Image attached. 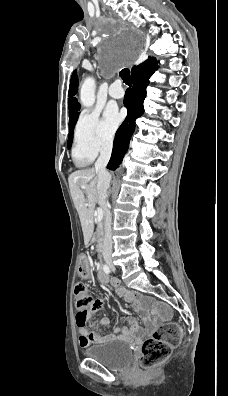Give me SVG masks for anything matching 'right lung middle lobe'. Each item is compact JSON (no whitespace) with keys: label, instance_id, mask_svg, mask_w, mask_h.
Returning <instances> with one entry per match:
<instances>
[{"label":"right lung middle lobe","instance_id":"dd1d6c3e","mask_svg":"<svg viewBox=\"0 0 228 396\" xmlns=\"http://www.w3.org/2000/svg\"><path fill=\"white\" fill-rule=\"evenodd\" d=\"M69 116H70V121H69L70 133L68 137V147H71L72 139H73V127L78 119V111L74 113H70Z\"/></svg>","mask_w":228,"mask_h":396}]
</instances>
